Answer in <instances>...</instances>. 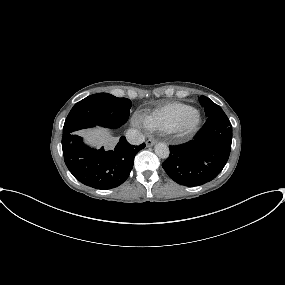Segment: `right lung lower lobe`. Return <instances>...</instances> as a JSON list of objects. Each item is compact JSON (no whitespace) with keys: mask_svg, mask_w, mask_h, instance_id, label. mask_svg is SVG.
I'll list each match as a JSON object with an SVG mask.
<instances>
[{"mask_svg":"<svg viewBox=\"0 0 285 285\" xmlns=\"http://www.w3.org/2000/svg\"><path fill=\"white\" fill-rule=\"evenodd\" d=\"M145 147L131 145L122 136L113 150H99L85 145L78 134L62 138L64 161L72 175L81 183L96 189H111L129 176L134 157Z\"/></svg>","mask_w":285,"mask_h":285,"instance_id":"1","label":"right lung lower lobe"}]
</instances>
